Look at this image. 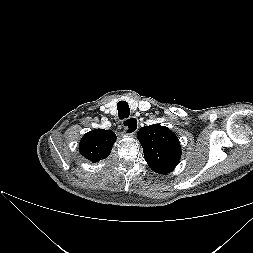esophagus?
I'll list each match as a JSON object with an SVG mask.
<instances>
[{"instance_id": "obj_1", "label": "esophagus", "mask_w": 253, "mask_h": 253, "mask_svg": "<svg viewBox=\"0 0 253 253\" xmlns=\"http://www.w3.org/2000/svg\"><path fill=\"white\" fill-rule=\"evenodd\" d=\"M128 120L132 121V124H130V127H128V124L126 123V121H128ZM123 127H124L123 133L125 135H134L137 132V129H138V120H137V118L129 117L128 119H125L123 121Z\"/></svg>"}]
</instances>
